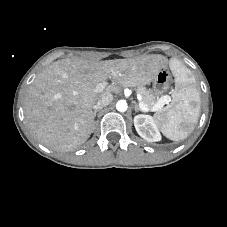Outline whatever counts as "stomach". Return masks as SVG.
<instances>
[{
	"mask_svg": "<svg viewBox=\"0 0 227 227\" xmlns=\"http://www.w3.org/2000/svg\"><path fill=\"white\" fill-rule=\"evenodd\" d=\"M161 68L162 69L152 80L153 91L156 95H163L164 93H166L170 89L172 81L171 75L167 70V65L164 64Z\"/></svg>",
	"mask_w": 227,
	"mask_h": 227,
	"instance_id": "obj_1",
	"label": "stomach"
}]
</instances>
